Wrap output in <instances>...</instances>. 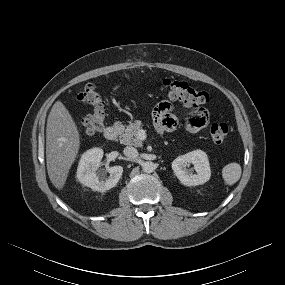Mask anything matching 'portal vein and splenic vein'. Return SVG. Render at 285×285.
<instances>
[{"label":"portal vein and splenic vein","mask_w":285,"mask_h":285,"mask_svg":"<svg viewBox=\"0 0 285 285\" xmlns=\"http://www.w3.org/2000/svg\"><path fill=\"white\" fill-rule=\"evenodd\" d=\"M139 135L141 136V139L145 138V132L143 130L139 131Z\"/></svg>","instance_id":"obj_1"}]
</instances>
